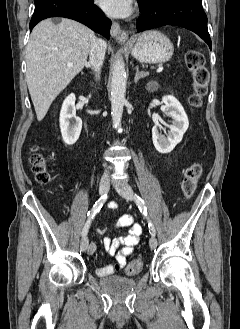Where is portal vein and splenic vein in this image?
<instances>
[{
	"label": "portal vein and splenic vein",
	"mask_w": 240,
	"mask_h": 329,
	"mask_svg": "<svg viewBox=\"0 0 240 329\" xmlns=\"http://www.w3.org/2000/svg\"><path fill=\"white\" fill-rule=\"evenodd\" d=\"M68 67H72V64H68ZM162 71H163V66L161 65L157 68V73H160Z\"/></svg>",
	"instance_id": "1"
}]
</instances>
